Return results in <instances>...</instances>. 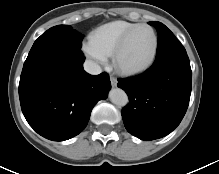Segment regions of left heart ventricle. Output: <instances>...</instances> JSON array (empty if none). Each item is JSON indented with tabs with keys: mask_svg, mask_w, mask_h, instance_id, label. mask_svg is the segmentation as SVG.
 Masks as SVG:
<instances>
[{
	"mask_svg": "<svg viewBox=\"0 0 219 174\" xmlns=\"http://www.w3.org/2000/svg\"><path fill=\"white\" fill-rule=\"evenodd\" d=\"M154 36L150 29L140 28L130 38L120 62L125 67H137L147 62L152 54Z\"/></svg>",
	"mask_w": 219,
	"mask_h": 174,
	"instance_id": "obj_1",
	"label": "left heart ventricle"
}]
</instances>
